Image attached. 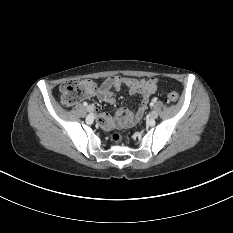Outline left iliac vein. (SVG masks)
Masks as SVG:
<instances>
[{"instance_id":"1","label":"left iliac vein","mask_w":233,"mask_h":233,"mask_svg":"<svg viewBox=\"0 0 233 233\" xmlns=\"http://www.w3.org/2000/svg\"><path fill=\"white\" fill-rule=\"evenodd\" d=\"M150 119H156L158 117V113L156 111H151L149 113Z\"/></svg>"}]
</instances>
